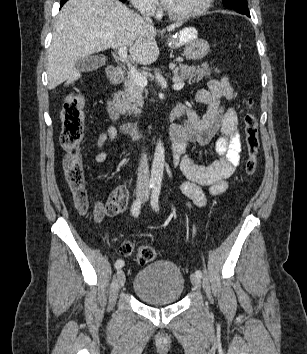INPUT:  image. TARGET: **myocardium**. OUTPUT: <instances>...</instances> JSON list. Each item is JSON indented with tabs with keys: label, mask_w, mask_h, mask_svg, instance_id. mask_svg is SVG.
<instances>
[{
	"label": "myocardium",
	"mask_w": 307,
	"mask_h": 354,
	"mask_svg": "<svg viewBox=\"0 0 307 354\" xmlns=\"http://www.w3.org/2000/svg\"><path fill=\"white\" fill-rule=\"evenodd\" d=\"M214 0H203L202 3L194 10L184 14H174L169 10H166V14L169 18L176 21H185L204 14L210 9Z\"/></svg>",
	"instance_id": "1"
}]
</instances>
